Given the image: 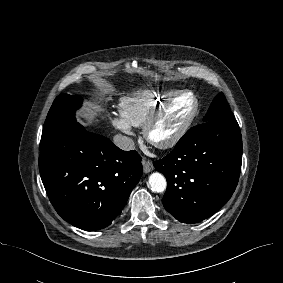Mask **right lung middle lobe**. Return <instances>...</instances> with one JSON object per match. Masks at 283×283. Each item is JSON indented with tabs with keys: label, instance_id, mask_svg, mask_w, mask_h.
<instances>
[{
	"label": "right lung middle lobe",
	"instance_id": "obj_1",
	"mask_svg": "<svg viewBox=\"0 0 283 283\" xmlns=\"http://www.w3.org/2000/svg\"><path fill=\"white\" fill-rule=\"evenodd\" d=\"M82 104L79 96L60 94L54 100L44 123L40 152H48L58 141L78 122L75 119V110Z\"/></svg>",
	"mask_w": 283,
	"mask_h": 283
}]
</instances>
